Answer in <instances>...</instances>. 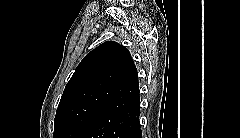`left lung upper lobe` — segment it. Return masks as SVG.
<instances>
[{"mask_svg":"<svg viewBox=\"0 0 240 138\" xmlns=\"http://www.w3.org/2000/svg\"><path fill=\"white\" fill-rule=\"evenodd\" d=\"M133 65L129 51L114 41L88 53L64 89L54 119V138H83Z\"/></svg>","mask_w":240,"mask_h":138,"instance_id":"left-lung-upper-lobe-1","label":"left lung upper lobe"}]
</instances>
